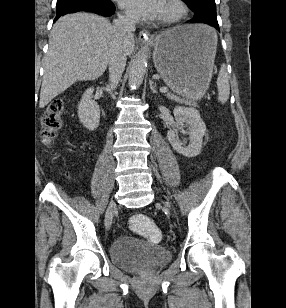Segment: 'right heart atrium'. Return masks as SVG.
Segmentation results:
<instances>
[{
  "mask_svg": "<svg viewBox=\"0 0 286 308\" xmlns=\"http://www.w3.org/2000/svg\"><path fill=\"white\" fill-rule=\"evenodd\" d=\"M122 19L125 20V21H132L133 20L130 16H127V15H123Z\"/></svg>",
  "mask_w": 286,
  "mask_h": 308,
  "instance_id": "right-heart-atrium-1",
  "label": "right heart atrium"
}]
</instances>
